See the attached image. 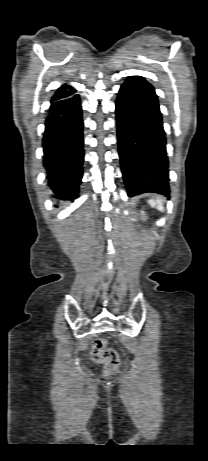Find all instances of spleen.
<instances>
[{
  "instance_id": "spleen-1",
  "label": "spleen",
  "mask_w": 208,
  "mask_h": 461,
  "mask_svg": "<svg viewBox=\"0 0 208 461\" xmlns=\"http://www.w3.org/2000/svg\"><path fill=\"white\" fill-rule=\"evenodd\" d=\"M163 202H164L163 199L160 198V197H158V198H156V199L151 198V199L148 200V203H149L152 207H155V208H157L159 211H162V212L164 211Z\"/></svg>"
}]
</instances>
